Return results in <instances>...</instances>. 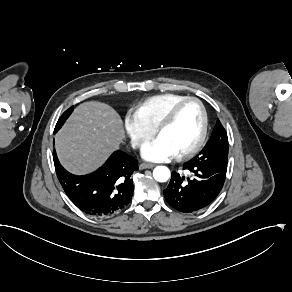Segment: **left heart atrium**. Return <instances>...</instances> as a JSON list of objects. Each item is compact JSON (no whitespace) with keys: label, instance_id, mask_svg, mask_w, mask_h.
<instances>
[{"label":"left heart atrium","instance_id":"1","mask_svg":"<svg viewBox=\"0 0 292 292\" xmlns=\"http://www.w3.org/2000/svg\"><path fill=\"white\" fill-rule=\"evenodd\" d=\"M142 156L149 161H168L179 154L178 149L163 136L149 140L142 148Z\"/></svg>","mask_w":292,"mask_h":292}]
</instances>
